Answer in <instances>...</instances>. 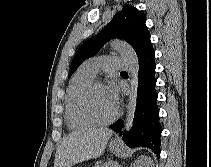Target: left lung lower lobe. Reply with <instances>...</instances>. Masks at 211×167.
Wrapping results in <instances>:
<instances>
[{
  "label": "left lung lower lobe",
  "instance_id": "left-lung-lower-lobe-1",
  "mask_svg": "<svg viewBox=\"0 0 211 167\" xmlns=\"http://www.w3.org/2000/svg\"><path fill=\"white\" fill-rule=\"evenodd\" d=\"M155 51L152 50L139 61L137 103L130 132L124 131L123 139L130 148L144 146L160 155V136L162 132L157 106L158 94L155 90L156 78L154 61ZM123 121L120 119L110 126L122 135Z\"/></svg>",
  "mask_w": 211,
  "mask_h": 167
}]
</instances>
